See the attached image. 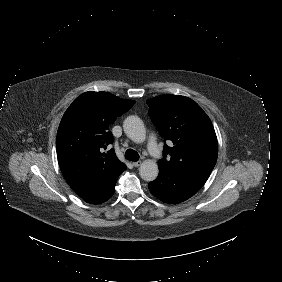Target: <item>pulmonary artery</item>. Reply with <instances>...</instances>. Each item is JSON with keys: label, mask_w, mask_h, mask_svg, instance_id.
Returning <instances> with one entry per match:
<instances>
[{"label": "pulmonary artery", "mask_w": 282, "mask_h": 282, "mask_svg": "<svg viewBox=\"0 0 282 282\" xmlns=\"http://www.w3.org/2000/svg\"><path fill=\"white\" fill-rule=\"evenodd\" d=\"M148 153L152 160L155 162H160L164 158V153L161 150L160 144L156 140H151L147 144Z\"/></svg>", "instance_id": "1"}]
</instances>
